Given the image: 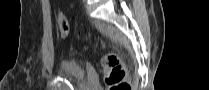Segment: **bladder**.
Instances as JSON below:
<instances>
[{
    "label": "bladder",
    "mask_w": 209,
    "mask_h": 90,
    "mask_svg": "<svg viewBox=\"0 0 209 90\" xmlns=\"http://www.w3.org/2000/svg\"><path fill=\"white\" fill-rule=\"evenodd\" d=\"M60 71L63 78L72 79L76 82H85L87 80L85 68L79 62L62 61Z\"/></svg>",
    "instance_id": "1"
}]
</instances>
